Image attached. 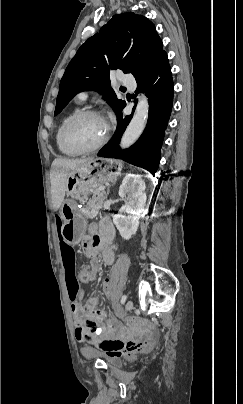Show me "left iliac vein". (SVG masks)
I'll list each match as a JSON object with an SVG mask.
<instances>
[{
    "label": "left iliac vein",
    "mask_w": 243,
    "mask_h": 404,
    "mask_svg": "<svg viewBox=\"0 0 243 404\" xmlns=\"http://www.w3.org/2000/svg\"><path fill=\"white\" fill-rule=\"evenodd\" d=\"M133 309V301L128 300L126 305H125V313L130 312Z\"/></svg>",
    "instance_id": "left-iliac-vein-1"
}]
</instances>
